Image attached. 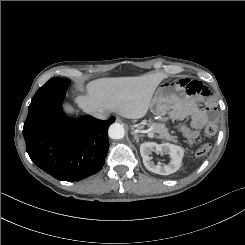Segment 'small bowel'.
Masks as SVG:
<instances>
[{
	"instance_id": "small-bowel-1",
	"label": "small bowel",
	"mask_w": 245,
	"mask_h": 245,
	"mask_svg": "<svg viewBox=\"0 0 245 245\" xmlns=\"http://www.w3.org/2000/svg\"><path fill=\"white\" fill-rule=\"evenodd\" d=\"M176 84L180 90H185V93L188 96L192 97L195 95H199V98L205 102L209 101L212 98V91L198 81L188 79L187 77L183 76L177 80ZM213 115L214 113L209 108H207V110L195 108L192 117V126L194 128H201Z\"/></svg>"
}]
</instances>
